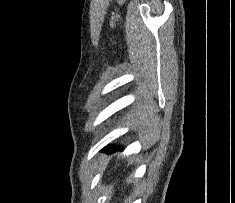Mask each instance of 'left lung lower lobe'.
I'll return each mask as SVG.
<instances>
[{"mask_svg":"<svg viewBox=\"0 0 235 203\" xmlns=\"http://www.w3.org/2000/svg\"><path fill=\"white\" fill-rule=\"evenodd\" d=\"M120 149L121 148L117 147V146H108V147L104 148L103 151L106 153H113V152L120 150Z\"/></svg>","mask_w":235,"mask_h":203,"instance_id":"obj_1","label":"left lung lower lobe"}]
</instances>
